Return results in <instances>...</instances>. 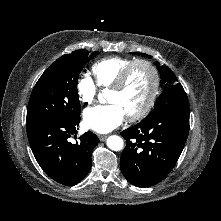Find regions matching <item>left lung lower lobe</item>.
Here are the masks:
<instances>
[{"instance_id": "obj_1", "label": "left lung lower lobe", "mask_w": 221, "mask_h": 221, "mask_svg": "<svg viewBox=\"0 0 221 221\" xmlns=\"http://www.w3.org/2000/svg\"><path fill=\"white\" fill-rule=\"evenodd\" d=\"M189 114L186 93H173L153 116L121 133L126 147L120 166L128 182L149 187L171 172L188 137Z\"/></svg>"}]
</instances>
